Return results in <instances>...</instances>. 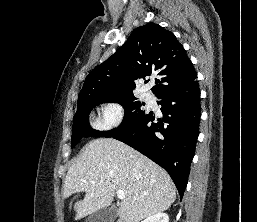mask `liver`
Wrapping results in <instances>:
<instances>
[{"label":"liver","mask_w":257,"mask_h":222,"mask_svg":"<svg viewBox=\"0 0 257 222\" xmlns=\"http://www.w3.org/2000/svg\"><path fill=\"white\" fill-rule=\"evenodd\" d=\"M118 190L125 193L117 209L124 222H139L163 212L176 199L172 179L149 158L112 138L90 141L65 178L64 198L86 193L74 205L75 220L108 207Z\"/></svg>","instance_id":"liver-1"}]
</instances>
